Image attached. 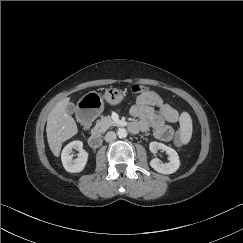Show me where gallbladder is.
I'll use <instances>...</instances> for the list:
<instances>
[{"instance_id":"bac80fb5","label":"gallbladder","mask_w":243,"mask_h":243,"mask_svg":"<svg viewBox=\"0 0 243 243\" xmlns=\"http://www.w3.org/2000/svg\"><path fill=\"white\" fill-rule=\"evenodd\" d=\"M66 111H67V113H69V114H73L74 112H76V107H75L74 103L69 102V103L67 104V106H66Z\"/></svg>"}]
</instances>
